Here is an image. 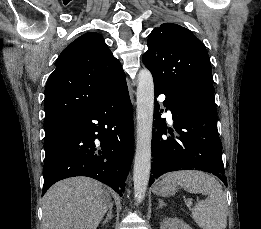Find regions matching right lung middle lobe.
Here are the masks:
<instances>
[{
	"mask_svg": "<svg viewBox=\"0 0 261 229\" xmlns=\"http://www.w3.org/2000/svg\"><path fill=\"white\" fill-rule=\"evenodd\" d=\"M54 132V130H45V137L52 135Z\"/></svg>",
	"mask_w": 261,
	"mask_h": 229,
	"instance_id": "dd1d6c3e",
	"label": "right lung middle lobe"
}]
</instances>
